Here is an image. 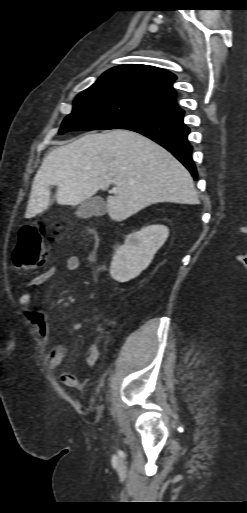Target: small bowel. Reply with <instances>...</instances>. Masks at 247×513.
Returning a JSON list of instances; mask_svg holds the SVG:
<instances>
[{"label":"small bowel","mask_w":247,"mask_h":513,"mask_svg":"<svg viewBox=\"0 0 247 513\" xmlns=\"http://www.w3.org/2000/svg\"><path fill=\"white\" fill-rule=\"evenodd\" d=\"M65 267L70 272L77 271L80 268V258L77 255H69L66 258ZM56 269L57 268L55 265H51L40 275L32 279L27 285V290L23 291L18 299L19 309L26 314L28 320L33 324L38 336L44 343H50L51 341L50 322L44 313L32 309V293L29 289L40 286L47 282L55 274ZM66 354L67 350L64 345L55 344L48 351L45 358V364L50 369H57L63 364ZM99 357L100 350L97 346L91 345L87 349L85 355V364L88 367H94L97 364ZM62 381L66 386L69 387L79 388L84 386V382L79 381L76 376L70 372H66L62 375Z\"/></svg>","instance_id":"1"}]
</instances>
